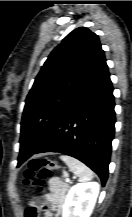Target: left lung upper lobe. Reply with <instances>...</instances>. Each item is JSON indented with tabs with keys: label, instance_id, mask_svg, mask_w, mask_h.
I'll return each mask as SVG.
<instances>
[{
	"label": "left lung upper lobe",
	"instance_id": "5c2ea615",
	"mask_svg": "<svg viewBox=\"0 0 132 217\" xmlns=\"http://www.w3.org/2000/svg\"><path fill=\"white\" fill-rule=\"evenodd\" d=\"M105 61L98 36L85 27L72 31L51 52L25 101L20 139L26 151L45 140Z\"/></svg>",
	"mask_w": 132,
	"mask_h": 217
}]
</instances>
